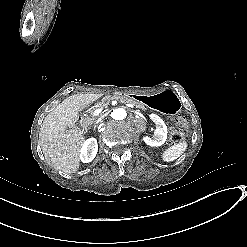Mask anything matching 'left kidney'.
Returning <instances> with one entry per match:
<instances>
[{"mask_svg": "<svg viewBox=\"0 0 247 247\" xmlns=\"http://www.w3.org/2000/svg\"><path fill=\"white\" fill-rule=\"evenodd\" d=\"M150 118L156 124V129L154 131V138H150L148 136L143 138V141L152 147L161 146L165 143L167 139V126L164 121L157 115L151 114Z\"/></svg>", "mask_w": 247, "mask_h": 247, "instance_id": "left-kidney-1", "label": "left kidney"}]
</instances>
